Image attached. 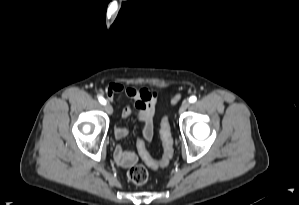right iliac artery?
<instances>
[{
	"label": "right iliac artery",
	"mask_w": 299,
	"mask_h": 205,
	"mask_svg": "<svg viewBox=\"0 0 299 205\" xmlns=\"http://www.w3.org/2000/svg\"><path fill=\"white\" fill-rule=\"evenodd\" d=\"M98 100H99V102L101 103V104H103V105H105L106 104V100L103 98V97H99L98 98Z\"/></svg>",
	"instance_id": "1"
}]
</instances>
